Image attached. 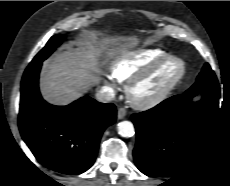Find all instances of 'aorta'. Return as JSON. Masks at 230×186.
I'll list each match as a JSON object with an SVG mask.
<instances>
[{"label": "aorta", "instance_id": "1", "mask_svg": "<svg viewBox=\"0 0 230 186\" xmlns=\"http://www.w3.org/2000/svg\"><path fill=\"white\" fill-rule=\"evenodd\" d=\"M118 134L122 137H132L135 134L134 126L130 121H122L117 126Z\"/></svg>", "mask_w": 230, "mask_h": 186}]
</instances>
